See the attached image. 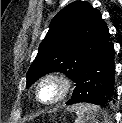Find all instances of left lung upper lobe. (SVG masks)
Here are the masks:
<instances>
[{"mask_svg": "<svg viewBox=\"0 0 122 123\" xmlns=\"http://www.w3.org/2000/svg\"><path fill=\"white\" fill-rule=\"evenodd\" d=\"M109 37L101 13L88 2L76 1L67 5L50 23L49 31L27 72L26 88L53 71L63 72L75 81Z\"/></svg>", "mask_w": 122, "mask_h": 123, "instance_id": "obj_1", "label": "left lung upper lobe"}]
</instances>
